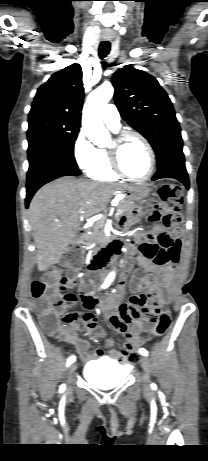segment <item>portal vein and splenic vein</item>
Listing matches in <instances>:
<instances>
[{
    "mask_svg": "<svg viewBox=\"0 0 208 461\" xmlns=\"http://www.w3.org/2000/svg\"><path fill=\"white\" fill-rule=\"evenodd\" d=\"M82 213H83V212H82ZM122 213H123L122 210H117V212L115 213V217L120 216Z\"/></svg>",
    "mask_w": 208,
    "mask_h": 461,
    "instance_id": "obj_1",
    "label": "portal vein and splenic vein"
}]
</instances>
